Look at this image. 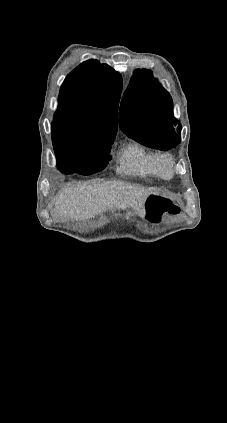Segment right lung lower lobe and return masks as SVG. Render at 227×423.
Returning <instances> with one entry per match:
<instances>
[{"instance_id":"right-lung-lower-lobe-1","label":"right lung lower lobe","mask_w":227,"mask_h":423,"mask_svg":"<svg viewBox=\"0 0 227 423\" xmlns=\"http://www.w3.org/2000/svg\"><path fill=\"white\" fill-rule=\"evenodd\" d=\"M58 166H59L58 167L59 170H61L62 173L69 174V173H72L73 171V169L69 166H64V165H58Z\"/></svg>"}]
</instances>
